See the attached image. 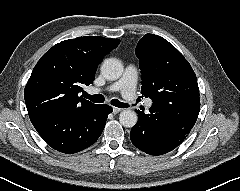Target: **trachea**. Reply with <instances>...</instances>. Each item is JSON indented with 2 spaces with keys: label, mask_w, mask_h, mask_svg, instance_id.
Wrapping results in <instances>:
<instances>
[{
  "label": "trachea",
  "mask_w": 240,
  "mask_h": 191,
  "mask_svg": "<svg viewBox=\"0 0 240 191\" xmlns=\"http://www.w3.org/2000/svg\"><path fill=\"white\" fill-rule=\"evenodd\" d=\"M83 95H84L85 98L89 99L90 101H92L94 103H103L104 102V96L101 95V94L90 95V94L85 92ZM111 104L113 106H116V107H119V108L128 107L127 103L120 102L117 99H112Z\"/></svg>",
  "instance_id": "obj_1"
}]
</instances>
